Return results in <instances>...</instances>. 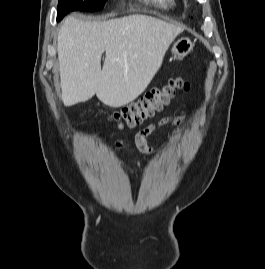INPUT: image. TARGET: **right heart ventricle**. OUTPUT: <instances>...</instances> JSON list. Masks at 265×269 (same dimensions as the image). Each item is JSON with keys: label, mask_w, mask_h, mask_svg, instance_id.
<instances>
[{"label": "right heart ventricle", "mask_w": 265, "mask_h": 269, "mask_svg": "<svg viewBox=\"0 0 265 269\" xmlns=\"http://www.w3.org/2000/svg\"><path fill=\"white\" fill-rule=\"evenodd\" d=\"M162 9H170L176 5V0H145Z\"/></svg>", "instance_id": "e07e8e85"}]
</instances>
